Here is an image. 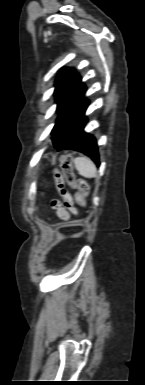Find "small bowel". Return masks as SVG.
I'll use <instances>...</instances> for the list:
<instances>
[{
	"label": "small bowel",
	"instance_id": "1",
	"mask_svg": "<svg viewBox=\"0 0 145 385\" xmlns=\"http://www.w3.org/2000/svg\"><path fill=\"white\" fill-rule=\"evenodd\" d=\"M51 207L56 211L57 216L62 220V221H67L70 217V211L66 209L62 205V202L58 199H52L51 200Z\"/></svg>",
	"mask_w": 145,
	"mask_h": 385
}]
</instances>
